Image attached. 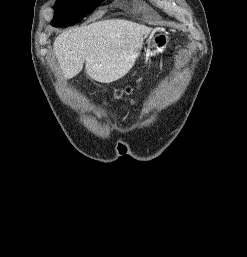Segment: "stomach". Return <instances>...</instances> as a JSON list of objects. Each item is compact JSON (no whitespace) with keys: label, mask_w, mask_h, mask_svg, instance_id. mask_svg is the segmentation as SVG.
<instances>
[{"label":"stomach","mask_w":247,"mask_h":257,"mask_svg":"<svg viewBox=\"0 0 247 257\" xmlns=\"http://www.w3.org/2000/svg\"><path fill=\"white\" fill-rule=\"evenodd\" d=\"M146 43H147V47L152 49L151 53H160V52H163L167 47L169 43V36L164 33L151 36L147 39Z\"/></svg>","instance_id":"1"}]
</instances>
